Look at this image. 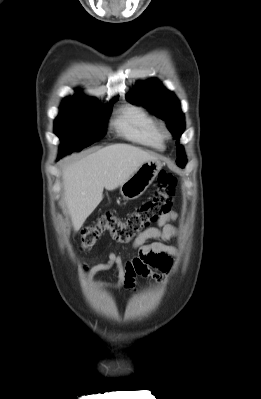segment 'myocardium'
I'll list each match as a JSON object with an SVG mask.
<instances>
[{"mask_svg": "<svg viewBox=\"0 0 261 399\" xmlns=\"http://www.w3.org/2000/svg\"><path fill=\"white\" fill-rule=\"evenodd\" d=\"M159 128H160V133H161L162 138H169L170 134H169L168 130L163 126H161Z\"/></svg>", "mask_w": 261, "mask_h": 399, "instance_id": "myocardium-1", "label": "myocardium"}]
</instances>
